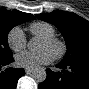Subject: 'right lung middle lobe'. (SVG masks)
Returning <instances> with one entry per match:
<instances>
[{
    "instance_id": "1",
    "label": "right lung middle lobe",
    "mask_w": 89,
    "mask_h": 89,
    "mask_svg": "<svg viewBox=\"0 0 89 89\" xmlns=\"http://www.w3.org/2000/svg\"><path fill=\"white\" fill-rule=\"evenodd\" d=\"M24 22H26V20L17 16L0 13V59L12 55L7 42L8 33L14 26Z\"/></svg>"
}]
</instances>
